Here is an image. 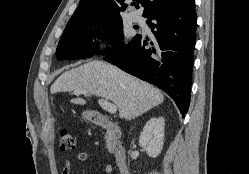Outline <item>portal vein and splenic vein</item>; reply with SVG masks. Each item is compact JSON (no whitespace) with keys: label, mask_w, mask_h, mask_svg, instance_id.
<instances>
[{"label":"portal vein and splenic vein","mask_w":249,"mask_h":174,"mask_svg":"<svg viewBox=\"0 0 249 174\" xmlns=\"http://www.w3.org/2000/svg\"><path fill=\"white\" fill-rule=\"evenodd\" d=\"M81 93L84 94V95L87 94L86 91H83V92H81ZM99 104H100V106H101L105 111H107V112L110 113V114H115L116 111H117L116 105L110 103V102L107 101V100L99 99Z\"/></svg>","instance_id":"portal-vein-and-splenic-vein-1"}]
</instances>
